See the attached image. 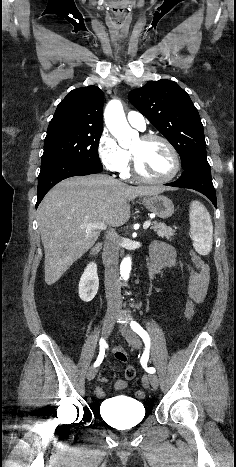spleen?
I'll return each instance as SVG.
<instances>
[{"label": "spleen", "mask_w": 236, "mask_h": 467, "mask_svg": "<svg viewBox=\"0 0 236 467\" xmlns=\"http://www.w3.org/2000/svg\"><path fill=\"white\" fill-rule=\"evenodd\" d=\"M189 221L193 247L201 255L209 254L213 243V225L210 214L199 201L191 202Z\"/></svg>", "instance_id": "3e777b00"}]
</instances>
